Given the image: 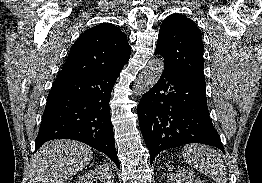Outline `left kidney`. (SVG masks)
I'll return each instance as SVG.
<instances>
[{"mask_svg":"<svg viewBox=\"0 0 262 183\" xmlns=\"http://www.w3.org/2000/svg\"><path fill=\"white\" fill-rule=\"evenodd\" d=\"M167 183H204L188 170L177 167L172 168L167 174Z\"/></svg>","mask_w":262,"mask_h":183,"instance_id":"1","label":"left kidney"}]
</instances>
